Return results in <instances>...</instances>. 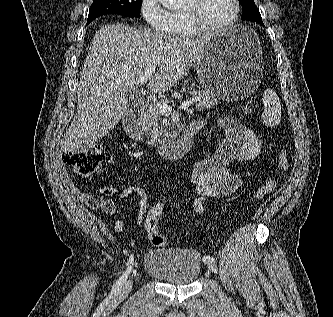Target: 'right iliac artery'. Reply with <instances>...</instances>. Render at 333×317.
Returning a JSON list of instances; mask_svg holds the SVG:
<instances>
[{
    "label": "right iliac artery",
    "instance_id": "82829eb1",
    "mask_svg": "<svg viewBox=\"0 0 333 317\" xmlns=\"http://www.w3.org/2000/svg\"><path fill=\"white\" fill-rule=\"evenodd\" d=\"M132 263H133V255L130 257L128 269L125 271V273L113 285L112 290H111V292L113 294H116L122 288V286L125 284V282L127 281V278H128V276L130 274V271H131Z\"/></svg>",
    "mask_w": 333,
    "mask_h": 317
}]
</instances>
